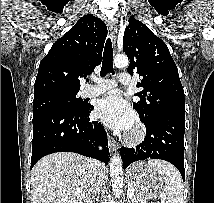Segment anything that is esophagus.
<instances>
[{
  "label": "esophagus",
  "instance_id": "34e87169",
  "mask_svg": "<svg viewBox=\"0 0 214 203\" xmlns=\"http://www.w3.org/2000/svg\"><path fill=\"white\" fill-rule=\"evenodd\" d=\"M108 28L112 38V42L113 44H115L117 38V21L115 19H109ZM109 148L111 151H116L118 149L117 143L112 137L109 138Z\"/></svg>",
  "mask_w": 214,
  "mask_h": 203
}]
</instances>
